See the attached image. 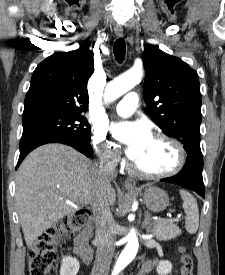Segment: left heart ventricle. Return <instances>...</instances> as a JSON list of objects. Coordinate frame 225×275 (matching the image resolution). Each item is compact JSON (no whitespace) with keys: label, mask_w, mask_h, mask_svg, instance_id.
<instances>
[{"label":"left heart ventricle","mask_w":225,"mask_h":275,"mask_svg":"<svg viewBox=\"0 0 225 275\" xmlns=\"http://www.w3.org/2000/svg\"><path fill=\"white\" fill-rule=\"evenodd\" d=\"M175 161L174 148L166 141L152 137L135 163L144 172L160 173L171 169Z\"/></svg>","instance_id":"obj_1"}]
</instances>
